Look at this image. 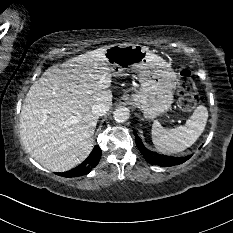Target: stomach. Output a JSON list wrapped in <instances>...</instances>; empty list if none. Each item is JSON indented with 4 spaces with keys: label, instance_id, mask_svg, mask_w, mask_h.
Here are the masks:
<instances>
[{
    "label": "stomach",
    "instance_id": "stomach-1",
    "mask_svg": "<svg viewBox=\"0 0 233 233\" xmlns=\"http://www.w3.org/2000/svg\"><path fill=\"white\" fill-rule=\"evenodd\" d=\"M104 55L113 76L137 73L141 88L132 95L131 102L145 118L154 119L170 109L177 83L170 64L148 47L133 43L110 45Z\"/></svg>",
    "mask_w": 233,
    "mask_h": 233
}]
</instances>
